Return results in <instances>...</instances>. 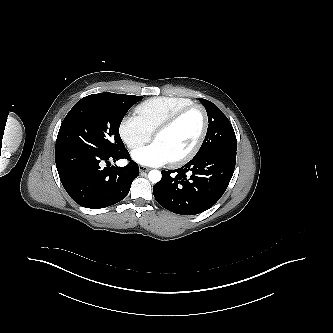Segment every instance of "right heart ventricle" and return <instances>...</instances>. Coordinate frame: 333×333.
<instances>
[{
	"label": "right heart ventricle",
	"instance_id": "1",
	"mask_svg": "<svg viewBox=\"0 0 333 333\" xmlns=\"http://www.w3.org/2000/svg\"><path fill=\"white\" fill-rule=\"evenodd\" d=\"M193 103L185 97H154L139 104L135 111L144 126L153 133L172 114Z\"/></svg>",
	"mask_w": 333,
	"mask_h": 333
}]
</instances>
